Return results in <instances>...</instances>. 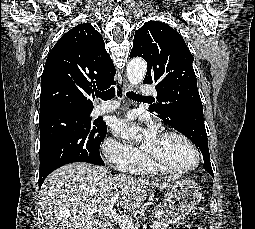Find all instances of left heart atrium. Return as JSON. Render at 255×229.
Instances as JSON below:
<instances>
[{
	"label": "left heart atrium",
	"mask_w": 255,
	"mask_h": 229,
	"mask_svg": "<svg viewBox=\"0 0 255 229\" xmlns=\"http://www.w3.org/2000/svg\"><path fill=\"white\" fill-rule=\"evenodd\" d=\"M136 114L129 113L124 118L114 120L112 128L115 135L125 140H134L137 134L143 136V144H150L157 138V132L154 126L148 121H135Z\"/></svg>",
	"instance_id": "obj_1"
}]
</instances>
